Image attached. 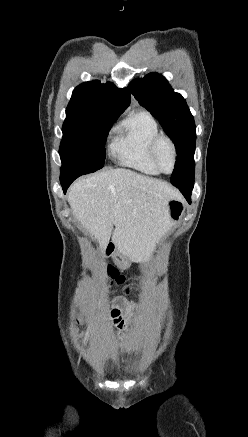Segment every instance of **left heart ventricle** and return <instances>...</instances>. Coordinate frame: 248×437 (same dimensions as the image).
I'll use <instances>...</instances> for the list:
<instances>
[{
	"label": "left heart ventricle",
	"mask_w": 248,
	"mask_h": 437,
	"mask_svg": "<svg viewBox=\"0 0 248 437\" xmlns=\"http://www.w3.org/2000/svg\"><path fill=\"white\" fill-rule=\"evenodd\" d=\"M159 162L162 168L166 171L171 170L173 155L170 146L168 143L164 142L161 144L159 149Z\"/></svg>",
	"instance_id": "obj_1"
}]
</instances>
